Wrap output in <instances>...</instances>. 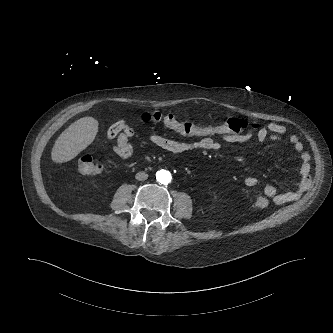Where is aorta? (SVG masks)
<instances>
[{
	"label": "aorta",
	"mask_w": 333,
	"mask_h": 333,
	"mask_svg": "<svg viewBox=\"0 0 333 333\" xmlns=\"http://www.w3.org/2000/svg\"><path fill=\"white\" fill-rule=\"evenodd\" d=\"M156 177L157 180L162 184H168L171 181V174L165 170L158 171Z\"/></svg>",
	"instance_id": "aorta-1"
}]
</instances>
